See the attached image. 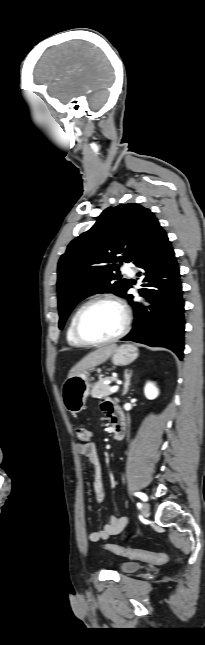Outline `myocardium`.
<instances>
[{
	"label": "myocardium",
	"instance_id": "f54148a6",
	"mask_svg": "<svg viewBox=\"0 0 205 645\" xmlns=\"http://www.w3.org/2000/svg\"><path fill=\"white\" fill-rule=\"evenodd\" d=\"M100 303H111L117 306L120 311L122 312L123 315V324L121 329L113 336L106 338V339H101V340H92L87 338L81 330V320L82 316L85 313V311L90 308L93 305L100 304ZM131 324V317L129 310L127 306L117 297L113 295H102L98 296L95 298H92L85 302L76 312L75 318H74V323H73V332L75 337L83 344L86 346H100V345H105L111 342H115L122 338L129 330Z\"/></svg>",
	"mask_w": 205,
	"mask_h": 645
}]
</instances>
